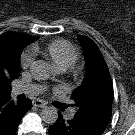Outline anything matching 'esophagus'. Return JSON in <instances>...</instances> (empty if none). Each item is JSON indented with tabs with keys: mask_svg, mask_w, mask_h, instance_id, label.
Segmentation results:
<instances>
[{
	"mask_svg": "<svg viewBox=\"0 0 135 135\" xmlns=\"http://www.w3.org/2000/svg\"><path fill=\"white\" fill-rule=\"evenodd\" d=\"M33 105H34L35 107H40V108L46 107V103H45L44 101L40 100V99L34 100V101H33Z\"/></svg>",
	"mask_w": 135,
	"mask_h": 135,
	"instance_id": "obj_1",
	"label": "esophagus"
}]
</instances>
